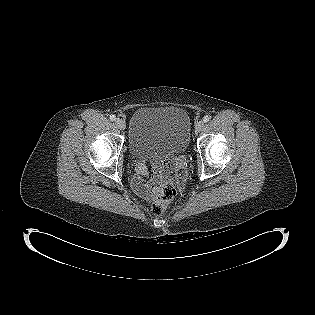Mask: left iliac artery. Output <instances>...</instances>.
Returning a JSON list of instances; mask_svg holds the SVG:
<instances>
[{
	"label": "left iliac artery",
	"instance_id": "1",
	"mask_svg": "<svg viewBox=\"0 0 315 315\" xmlns=\"http://www.w3.org/2000/svg\"><path fill=\"white\" fill-rule=\"evenodd\" d=\"M210 118H211L210 116L206 115L204 116L203 121L206 123L210 120Z\"/></svg>",
	"mask_w": 315,
	"mask_h": 315
}]
</instances>
